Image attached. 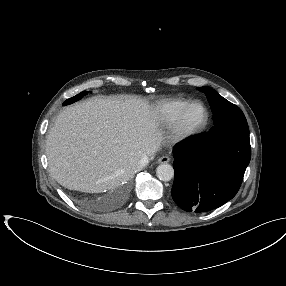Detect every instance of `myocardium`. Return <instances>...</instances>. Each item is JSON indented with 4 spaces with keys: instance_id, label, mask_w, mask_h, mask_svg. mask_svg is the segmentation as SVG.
I'll return each instance as SVG.
<instances>
[{
    "instance_id": "f54148a6",
    "label": "myocardium",
    "mask_w": 286,
    "mask_h": 286,
    "mask_svg": "<svg viewBox=\"0 0 286 286\" xmlns=\"http://www.w3.org/2000/svg\"><path fill=\"white\" fill-rule=\"evenodd\" d=\"M195 106H201L204 110V119L201 124L197 126H189L187 124V118L190 111ZM210 114L206 105L200 101L191 102L180 115V117L173 123L171 129V139L178 143L187 141L205 130L209 123Z\"/></svg>"
}]
</instances>
